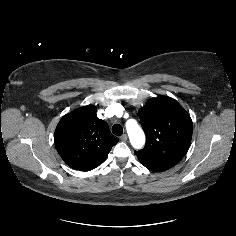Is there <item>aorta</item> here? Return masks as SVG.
Segmentation results:
<instances>
[{"instance_id":"aorta-1","label":"aorta","mask_w":236,"mask_h":236,"mask_svg":"<svg viewBox=\"0 0 236 236\" xmlns=\"http://www.w3.org/2000/svg\"><path fill=\"white\" fill-rule=\"evenodd\" d=\"M126 130L131 145L135 149H140L145 143V134L136 120L130 119L126 122Z\"/></svg>"}]
</instances>
